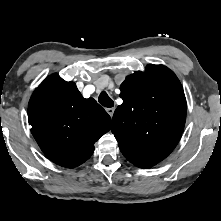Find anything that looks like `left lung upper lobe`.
<instances>
[{
  "label": "left lung upper lobe",
  "instance_id": "obj_1",
  "mask_svg": "<svg viewBox=\"0 0 221 221\" xmlns=\"http://www.w3.org/2000/svg\"><path fill=\"white\" fill-rule=\"evenodd\" d=\"M112 133L123 155L155 165L178 144L187 104L177 76L163 65H148L126 77L120 86Z\"/></svg>",
  "mask_w": 221,
  "mask_h": 221
}]
</instances>
